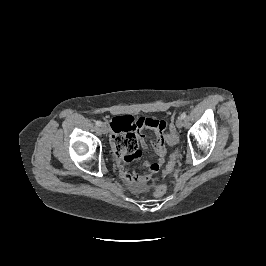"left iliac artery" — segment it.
<instances>
[{
  "mask_svg": "<svg viewBox=\"0 0 266 266\" xmlns=\"http://www.w3.org/2000/svg\"><path fill=\"white\" fill-rule=\"evenodd\" d=\"M186 116H187L186 113H182V114H181V118H182V119H185Z\"/></svg>",
  "mask_w": 266,
  "mask_h": 266,
  "instance_id": "1",
  "label": "left iliac artery"
}]
</instances>
